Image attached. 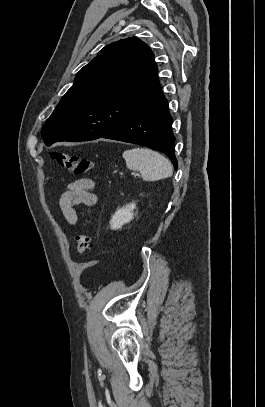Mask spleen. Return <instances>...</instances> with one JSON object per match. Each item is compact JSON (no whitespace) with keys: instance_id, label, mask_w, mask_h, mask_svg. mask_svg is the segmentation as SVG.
<instances>
[{"instance_id":"1","label":"spleen","mask_w":265,"mask_h":407,"mask_svg":"<svg viewBox=\"0 0 265 407\" xmlns=\"http://www.w3.org/2000/svg\"><path fill=\"white\" fill-rule=\"evenodd\" d=\"M126 166L140 171L145 181H157L171 177L173 168L170 161L160 153L147 148H133L123 152Z\"/></svg>"}]
</instances>
